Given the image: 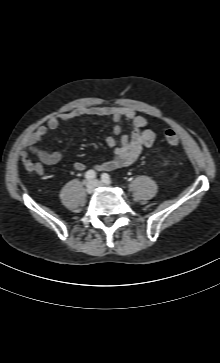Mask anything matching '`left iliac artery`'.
<instances>
[{
  "instance_id": "left-iliac-artery-1",
  "label": "left iliac artery",
  "mask_w": 220,
  "mask_h": 363,
  "mask_svg": "<svg viewBox=\"0 0 220 363\" xmlns=\"http://www.w3.org/2000/svg\"><path fill=\"white\" fill-rule=\"evenodd\" d=\"M101 179L106 184H111L112 183L111 178H110V176L107 173H103L101 175Z\"/></svg>"
}]
</instances>
